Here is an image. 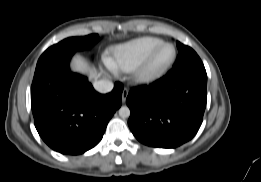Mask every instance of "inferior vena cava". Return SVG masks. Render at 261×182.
Here are the masks:
<instances>
[{
  "label": "inferior vena cava",
  "instance_id": "inferior-vena-cava-1",
  "mask_svg": "<svg viewBox=\"0 0 261 182\" xmlns=\"http://www.w3.org/2000/svg\"><path fill=\"white\" fill-rule=\"evenodd\" d=\"M94 88L100 93H108L112 91L114 84L110 80L102 79L94 82Z\"/></svg>",
  "mask_w": 261,
  "mask_h": 182
}]
</instances>
